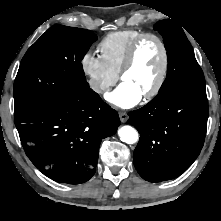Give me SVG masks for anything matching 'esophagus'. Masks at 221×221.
<instances>
[{"label": "esophagus", "instance_id": "1", "mask_svg": "<svg viewBox=\"0 0 221 221\" xmlns=\"http://www.w3.org/2000/svg\"><path fill=\"white\" fill-rule=\"evenodd\" d=\"M119 117L122 123H125L128 120V115L125 112H120Z\"/></svg>", "mask_w": 221, "mask_h": 221}]
</instances>
